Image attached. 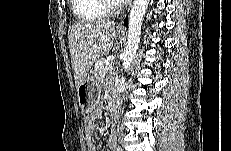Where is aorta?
Instances as JSON below:
<instances>
[{
	"mask_svg": "<svg viewBox=\"0 0 231 151\" xmlns=\"http://www.w3.org/2000/svg\"><path fill=\"white\" fill-rule=\"evenodd\" d=\"M149 0H134L129 16L128 41L123 52V69L127 71L136 55L139 47L143 18L146 13Z\"/></svg>",
	"mask_w": 231,
	"mask_h": 151,
	"instance_id": "762f6f07",
	"label": "aorta"
}]
</instances>
